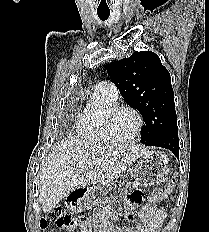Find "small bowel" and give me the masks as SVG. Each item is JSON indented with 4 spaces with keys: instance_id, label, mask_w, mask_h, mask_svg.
<instances>
[{
    "instance_id": "c3829d8e",
    "label": "small bowel",
    "mask_w": 209,
    "mask_h": 232,
    "mask_svg": "<svg viewBox=\"0 0 209 232\" xmlns=\"http://www.w3.org/2000/svg\"><path fill=\"white\" fill-rule=\"evenodd\" d=\"M136 189L129 190L126 194V213H137V208L144 205L138 213V220L141 224L134 228L110 227L108 220L113 214L110 210H106L98 214L93 221H82L80 232H160L166 218L165 210L159 208L153 201L145 205L148 198L147 191L142 190V185H137Z\"/></svg>"
}]
</instances>
